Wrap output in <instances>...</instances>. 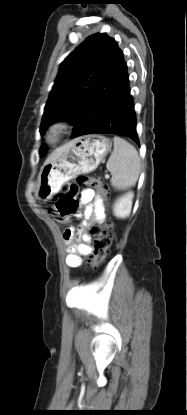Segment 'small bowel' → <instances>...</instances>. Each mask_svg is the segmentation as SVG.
I'll use <instances>...</instances> for the list:
<instances>
[{
    "instance_id": "obj_1",
    "label": "small bowel",
    "mask_w": 187,
    "mask_h": 415,
    "mask_svg": "<svg viewBox=\"0 0 187 415\" xmlns=\"http://www.w3.org/2000/svg\"><path fill=\"white\" fill-rule=\"evenodd\" d=\"M80 203L85 206L82 213L86 221L102 223L105 219V203L103 198L95 194L91 189H84L80 193ZM63 239L67 245L68 255L66 265L71 268L79 267L83 258L91 254V246L88 243V236L83 228L75 233L73 228H67L63 233Z\"/></svg>"
}]
</instances>
